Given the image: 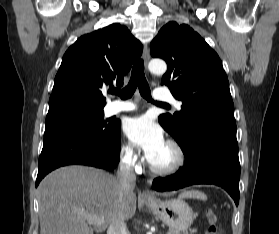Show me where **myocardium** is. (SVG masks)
<instances>
[{"instance_id":"f54148a6","label":"myocardium","mask_w":279,"mask_h":234,"mask_svg":"<svg viewBox=\"0 0 279 234\" xmlns=\"http://www.w3.org/2000/svg\"><path fill=\"white\" fill-rule=\"evenodd\" d=\"M166 145L169 146L174 153V160L172 163L167 166H157L148 160L150 171L159 176H169L178 172L186 162L185 152L178 142L168 140Z\"/></svg>"}]
</instances>
